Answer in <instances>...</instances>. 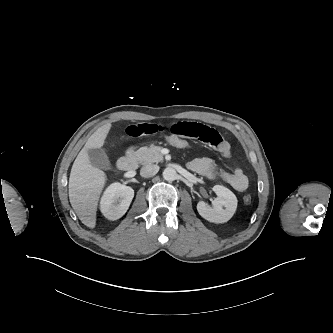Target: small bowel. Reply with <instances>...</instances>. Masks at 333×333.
Segmentation results:
<instances>
[{
  "instance_id": "obj_1",
  "label": "small bowel",
  "mask_w": 333,
  "mask_h": 333,
  "mask_svg": "<svg viewBox=\"0 0 333 333\" xmlns=\"http://www.w3.org/2000/svg\"><path fill=\"white\" fill-rule=\"evenodd\" d=\"M131 137L151 136L155 134H175L188 139L198 140L213 148L222 157L231 156L230 144L215 129L192 121H178L170 126L160 123H135L126 127ZM188 168L209 179H220L229 184L236 191H245L249 185L248 177L241 167L235 166L230 172L218 170L214 160L203 157L191 160Z\"/></svg>"
}]
</instances>
